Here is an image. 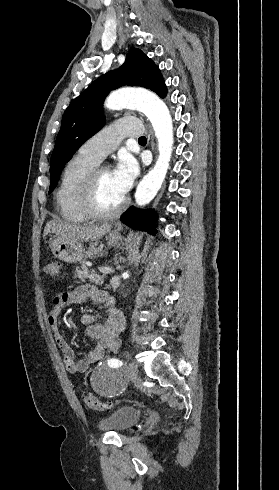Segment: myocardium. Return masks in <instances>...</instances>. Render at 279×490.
<instances>
[{
  "label": "myocardium",
  "mask_w": 279,
  "mask_h": 490,
  "mask_svg": "<svg viewBox=\"0 0 279 490\" xmlns=\"http://www.w3.org/2000/svg\"><path fill=\"white\" fill-rule=\"evenodd\" d=\"M107 171L104 167H95L88 175L83 195V206L91 218L111 219L118 216L126 207L125 198L114 208L106 210L99 204V179L102 172Z\"/></svg>",
  "instance_id": "myocardium-1"
}]
</instances>
